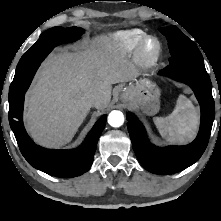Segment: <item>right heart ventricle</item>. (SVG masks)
<instances>
[{
	"label": "right heart ventricle",
	"mask_w": 221,
	"mask_h": 221,
	"mask_svg": "<svg viewBox=\"0 0 221 221\" xmlns=\"http://www.w3.org/2000/svg\"><path fill=\"white\" fill-rule=\"evenodd\" d=\"M145 36V32L140 29H131L118 32L115 35L117 45L124 51H132Z\"/></svg>",
	"instance_id": "e07e8e85"
}]
</instances>
